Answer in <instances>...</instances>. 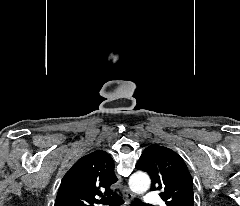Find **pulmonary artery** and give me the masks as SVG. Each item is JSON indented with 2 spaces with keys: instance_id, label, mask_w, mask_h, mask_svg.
Segmentation results:
<instances>
[{
  "instance_id": "1",
  "label": "pulmonary artery",
  "mask_w": 240,
  "mask_h": 206,
  "mask_svg": "<svg viewBox=\"0 0 240 206\" xmlns=\"http://www.w3.org/2000/svg\"><path fill=\"white\" fill-rule=\"evenodd\" d=\"M144 201L148 205H155V204L160 203L161 199L158 196V194L151 192V193L146 194Z\"/></svg>"
}]
</instances>
